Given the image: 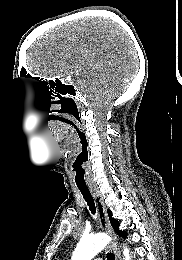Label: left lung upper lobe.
Segmentation results:
<instances>
[{
    "label": "left lung upper lobe",
    "instance_id": "left-lung-upper-lobe-1",
    "mask_svg": "<svg viewBox=\"0 0 182 260\" xmlns=\"http://www.w3.org/2000/svg\"><path fill=\"white\" fill-rule=\"evenodd\" d=\"M107 212H108V216L110 219V223H111L113 229L115 230V232L119 236L124 237L127 233L125 231L119 230V222L116 219L112 218V212L110 210H108Z\"/></svg>",
    "mask_w": 182,
    "mask_h": 260
}]
</instances>
